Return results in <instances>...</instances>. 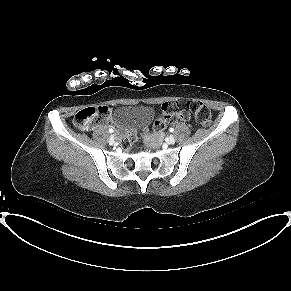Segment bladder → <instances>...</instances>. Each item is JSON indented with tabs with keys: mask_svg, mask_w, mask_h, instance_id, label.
Instances as JSON below:
<instances>
[{
	"mask_svg": "<svg viewBox=\"0 0 291 291\" xmlns=\"http://www.w3.org/2000/svg\"><path fill=\"white\" fill-rule=\"evenodd\" d=\"M153 118L152 109L143 105H121L113 114L114 125L121 130L139 129Z\"/></svg>",
	"mask_w": 291,
	"mask_h": 291,
	"instance_id": "1",
	"label": "bladder"
}]
</instances>
